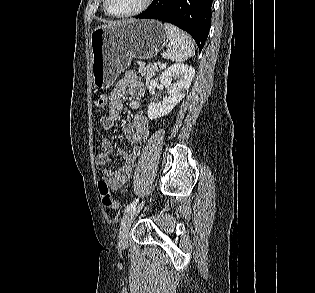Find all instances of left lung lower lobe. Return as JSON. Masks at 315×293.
<instances>
[{
	"instance_id": "0a47b994",
	"label": "left lung lower lobe",
	"mask_w": 315,
	"mask_h": 293,
	"mask_svg": "<svg viewBox=\"0 0 315 293\" xmlns=\"http://www.w3.org/2000/svg\"><path fill=\"white\" fill-rule=\"evenodd\" d=\"M212 0H153L136 18L158 19L187 31L201 51L210 28Z\"/></svg>"
}]
</instances>
